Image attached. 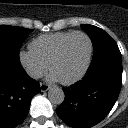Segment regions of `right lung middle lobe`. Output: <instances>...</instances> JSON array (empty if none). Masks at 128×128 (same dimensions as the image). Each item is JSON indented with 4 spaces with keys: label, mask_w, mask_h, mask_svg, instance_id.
<instances>
[{
    "label": "right lung middle lobe",
    "mask_w": 128,
    "mask_h": 128,
    "mask_svg": "<svg viewBox=\"0 0 128 128\" xmlns=\"http://www.w3.org/2000/svg\"><path fill=\"white\" fill-rule=\"evenodd\" d=\"M32 29L0 25V58L21 65L19 50Z\"/></svg>",
    "instance_id": "1"
}]
</instances>
